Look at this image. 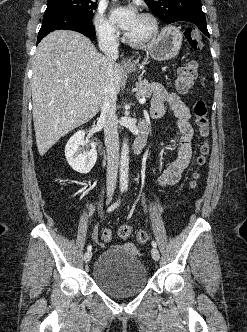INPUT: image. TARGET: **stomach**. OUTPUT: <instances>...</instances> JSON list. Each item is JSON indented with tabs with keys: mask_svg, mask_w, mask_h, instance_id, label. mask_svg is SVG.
<instances>
[{
	"mask_svg": "<svg viewBox=\"0 0 247 332\" xmlns=\"http://www.w3.org/2000/svg\"><path fill=\"white\" fill-rule=\"evenodd\" d=\"M183 36L179 28L175 26L165 27L160 35L152 40L147 47L151 57L156 61H166L174 58L182 45ZM136 67L126 68V72H133Z\"/></svg>",
	"mask_w": 247,
	"mask_h": 332,
	"instance_id": "0dacf381",
	"label": "stomach"
}]
</instances>
